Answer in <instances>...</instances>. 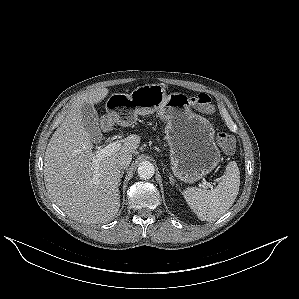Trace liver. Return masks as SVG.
<instances>
[{
    "label": "liver",
    "mask_w": 299,
    "mask_h": 299,
    "mask_svg": "<svg viewBox=\"0 0 299 299\" xmlns=\"http://www.w3.org/2000/svg\"><path fill=\"white\" fill-rule=\"evenodd\" d=\"M108 93L107 88H96L78 95L52 135L44 157L47 192L69 217L86 224L107 223L117 215L121 174L117 160L124 153H135L141 142L139 136L129 135L121 148L102 158L95 169L91 135L83 126L81 109L85 103L100 102Z\"/></svg>",
    "instance_id": "1"
}]
</instances>
